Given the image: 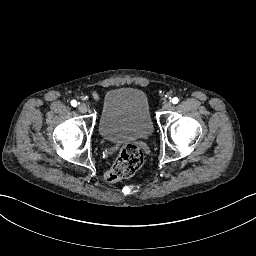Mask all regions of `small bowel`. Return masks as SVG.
Wrapping results in <instances>:
<instances>
[{"label":"small bowel","instance_id":"obj_1","mask_svg":"<svg viewBox=\"0 0 256 256\" xmlns=\"http://www.w3.org/2000/svg\"><path fill=\"white\" fill-rule=\"evenodd\" d=\"M92 97H93L94 99H97V98H98V94H97V93H93V94H92Z\"/></svg>","mask_w":256,"mask_h":256}]
</instances>
